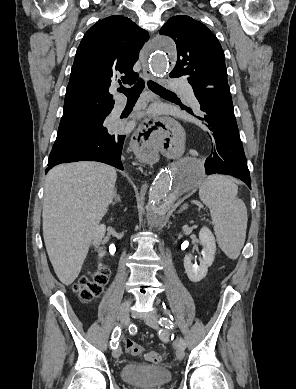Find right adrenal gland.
<instances>
[{"label": "right adrenal gland", "instance_id": "1", "mask_svg": "<svg viewBox=\"0 0 296 389\" xmlns=\"http://www.w3.org/2000/svg\"><path fill=\"white\" fill-rule=\"evenodd\" d=\"M119 202H121V198H120V195L117 194V189H115L114 200L112 201V205H115V204H117Z\"/></svg>", "mask_w": 296, "mask_h": 389}]
</instances>
